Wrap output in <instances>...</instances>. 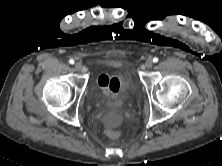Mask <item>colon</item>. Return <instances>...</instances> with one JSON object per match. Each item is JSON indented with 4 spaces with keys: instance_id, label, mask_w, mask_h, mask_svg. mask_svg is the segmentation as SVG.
<instances>
[{
    "instance_id": "1",
    "label": "colon",
    "mask_w": 222,
    "mask_h": 166,
    "mask_svg": "<svg viewBox=\"0 0 222 166\" xmlns=\"http://www.w3.org/2000/svg\"><path fill=\"white\" fill-rule=\"evenodd\" d=\"M107 135L108 137H110L111 139H116L119 137L120 133L118 130L115 129H108L107 130Z\"/></svg>"
}]
</instances>
